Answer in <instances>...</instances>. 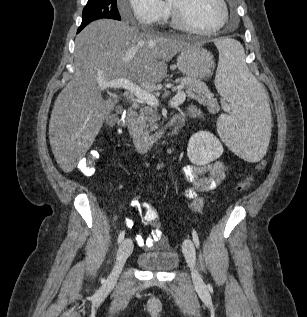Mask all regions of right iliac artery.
<instances>
[{"label": "right iliac artery", "instance_id": "right-iliac-artery-1", "mask_svg": "<svg viewBox=\"0 0 307 317\" xmlns=\"http://www.w3.org/2000/svg\"><path fill=\"white\" fill-rule=\"evenodd\" d=\"M124 236H125V231H122L118 236V240H117L118 244H120L123 241Z\"/></svg>", "mask_w": 307, "mask_h": 317}]
</instances>
